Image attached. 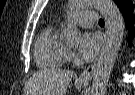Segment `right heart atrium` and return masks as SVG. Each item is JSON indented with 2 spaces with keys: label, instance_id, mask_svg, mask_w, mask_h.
Segmentation results:
<instances>
[{
  "label": "right heart atrium",
  "instance_id": "d8ad5b80",
  "mask_svg": "<svg viewBox=\"0 0 135 95\" xmlns=\"http://www.w3.org/2000/svg\"><path fill=\"white\" fill-rule=\"evenodd\" d=\"M68 57H72V53L71 52H68Z\"/></svg>",
  "mask_w": 135,
  "mask_h": 95
}]
</instances>
